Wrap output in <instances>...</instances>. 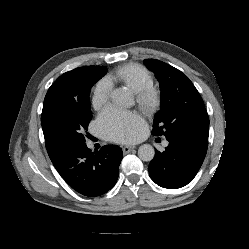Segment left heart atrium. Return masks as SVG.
<instances>
[{"label": "left heart atrium", "instance_id": "left-heart-atrium-1", "mask_svg": "<svg viewBox=\"0 0 249 249\" xmlns=\"http://www.w3.org/2000/svg\"><path fill=\"white\" fill-rule=\"evenodd\" d=\"M98 127L105 138L122 143L137 141L145 129L139 116L116 106L106 108L99 115Z\"/></svg>", "mask_w": 249, "mask_h": 249}]
</instances>
